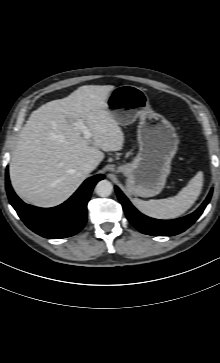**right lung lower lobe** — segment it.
<instances>
[{
    "label": "right lung lower lobe",
    "instance_id": "1",
    "mask_svg": "<svg viewBox=\"0 0 220 363\" xmlns=\"http://www.w3.org/2000/svg\"><path fill=\"white\" fill-rule=\"evenodd\" d=\"M99 174L88 178L65 203L53 208H38L21 201L14 193L6 170V189L9 201L21 220L35 233L50 239L66 238L78 233L86 223L87 203Z\"/></svg>",
    "mask_w": 220,
    "mask_h": 363
}]
</instances>
